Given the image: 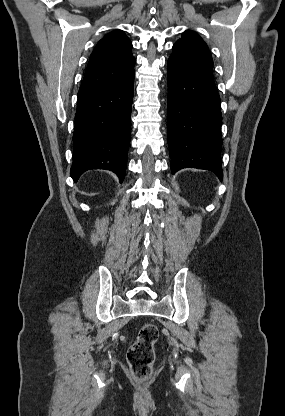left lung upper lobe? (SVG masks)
<instances>
[{
  "mask_svg": "<svg viewBox=\"0 0 285 416\" xmlns=\"http://www.w3.org/2000/svg\"><path fill=\"white\" fill-rule=\"evenodd\" d=\"M170 58L213 79V60L210 51L202 38L191 31L184 32L173 45V53Z\"/></svg>",
  "mask_w": 285,
  "mask_h": 416,
  "instance_id": "left-lung-upper-lobe-1",
  "label": "left lung upper lobe"
}]
</instances>
